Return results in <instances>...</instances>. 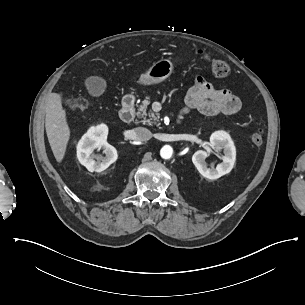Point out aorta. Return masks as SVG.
Listing matches in <instances>:
<instances>
[{
  "instance_id": "aorta-1",
  "label": "aorta",
  "mask_w": 305,
  "mask_h": 305,
  "mask_svg": "<svg viewBox=\"0 0 305 305\" xmlns=\"http://www.w3.org/2000/svg\"><path fill=\"white\" fill-rule=\"evenodd\" d=\"M173 154V149L170 145H164L160 150V155L163 159H170Z\"/></svg>"
}]
</instances>
